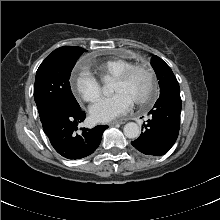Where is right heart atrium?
Wrapping results in <instances>:
<instances>
[{
  "instance_id": "1",
  "label": "right heart atrium",
  "mask_w": 220,
  "mask_h": 220,
  "mask_svg": "<svg viewBox=\"0 0 220 220\" xmlns=\"http://www.w3.org/2000/svg\"><path fill=\"white\" fill-rule=\"evenodd\" d=\"M73 91L82 100L92 103L101 96L102 88L96 77L87 71H82L74 79Z\"/></svg>"
}]
</instances>
